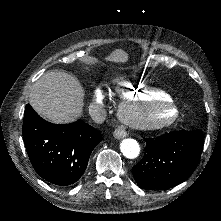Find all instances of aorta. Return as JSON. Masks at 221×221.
Wrapping results in <instances>:
<instances>
[{"instance_id":"762f6f07","label":"aorta","mask_w":221,"mask_h":221,"mask_svg":"<svg viewBox=\"0 0 221 221\" xmlns=\"http://www.w3.org/2000/svg\"><path fill=\"white\" fill-rule=\"evenodd\" d=\"M120 150L122 154L129 159H134L140 154V146L138 142L131 138L122 140Z\"/></svg>"}]
</instances>
